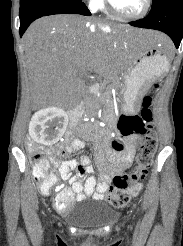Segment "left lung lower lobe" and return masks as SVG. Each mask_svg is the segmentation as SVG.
<instances>
[{"label":"left lung lower lobe","mask_w":183,"mask_h":246,"mask_svg":"<svg viewBox=\"0 0 183 246\" xmlns=\"http://www.w3.org/2000/svg\"><path fill=\"white\" fill-rule=\"evenodd\" d=\"M131 26L160 30L179 47L183 35V0H158L143 19L130 22Z\"/></svg>","instance_id":"left-lung-lower-lobe-1"}]
</instances>
